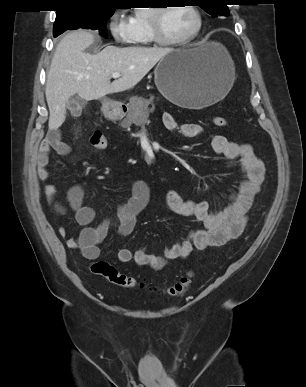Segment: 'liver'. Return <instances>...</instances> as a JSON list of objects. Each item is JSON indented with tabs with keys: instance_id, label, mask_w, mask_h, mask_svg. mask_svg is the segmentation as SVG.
I'll return each instance as SVG.
<instances>
[{
	"instance_id": "6515ba94",
	"label": "liver",
	"mask_w": 306,
	"mask_h": 387,
	"mask_svg": "<svg viewBox=\"0 0 306 387\" xmlns=\"http://www.w3.org/2000/svg\"><path fill=\"white\" fill-rule=\"evenodd\" d=\"M95 41L92 33L72 31L58 43L47 74L45 95L50 111L49 129L65 121L66 103L77 94L86 101L123 92L136 86L172 48L106 46L91 54L85 50ZM121 77L110 82L112 73Z\"/></svg>"
}]
</instances>
